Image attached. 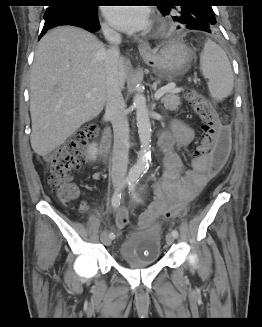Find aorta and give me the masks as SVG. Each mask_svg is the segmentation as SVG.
Here are the masks:
<instances>
[{
  "label": "aorta",
  "instance_id": "762f6f07",
  "mask_svg": "<svg viewBox=\"0 0 262 327\" xmlns=\"http://www.w3.org/2000/svg\"><path fill=\"white\" fill-rule=\"evenodd\" d=\"M136 120L140 139V152L136 164L130 169L129 177L139 178L146 171L150 159L151 123L145 96L137 90L133 97Z\"/></svg>",
  "mask_w": 262,
  "mask_h": 327
}]
</instances>
